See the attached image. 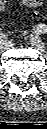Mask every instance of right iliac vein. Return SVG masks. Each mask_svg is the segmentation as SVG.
<instances>
[{"instance_id":"right-iliac-vein-1","label":"right iliac vein","mask_w":47,"mask_h":129,"mask_svg":"<svg viewBox=\"0 0 47 129\" xmlns=\"http://www.w3.org/2000/svg\"><path fill=\"white\" fill-rule=\"evenodd\" d=\"M10 48V45L8 42H2L1 45H0V49L1 51H6Z\"/></svg>"}]
</instances>
